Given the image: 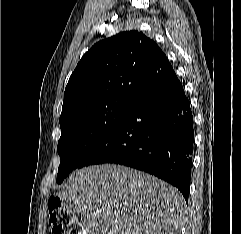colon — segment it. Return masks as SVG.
<instances>
[{
	"label": "colon",
	"mask_w": 241,
	"mask_h": 234,
	"mask_svg": "<svg viewBox=\"0 0 241 234\" xmlns=\"http://www.w3.org/2000/svg\"><path fill=\"white\" fill-rule=\"evenodd\" d=\"M48 208L49 224L53 234H84L81 224L63 207L59 198H50Z\"/></svg>",
	"instance_id": "obj_1"
}]
</instances>
